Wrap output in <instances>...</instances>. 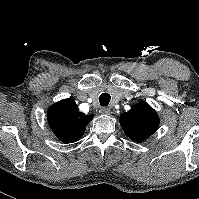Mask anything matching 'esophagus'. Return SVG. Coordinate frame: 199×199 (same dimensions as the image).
<instances>
[{
  "mask_svg": "<svg viewBox=\"0 0 199 199\" xmlns=\"http://www.w3.org/2000/svg\"><path fill=\"white\" fill-rule=\"evenodd\" d=\"M100 112L104 115H109L111 113V110L108 107H103L101 108Z\"/></svg>",
  "mask_w": 199,
  "mask_h": 199,
  "instance_id": "34e87169",
  "label": "esophagus"
}]
</instances>
